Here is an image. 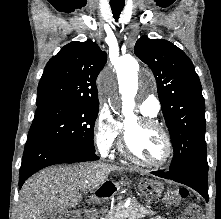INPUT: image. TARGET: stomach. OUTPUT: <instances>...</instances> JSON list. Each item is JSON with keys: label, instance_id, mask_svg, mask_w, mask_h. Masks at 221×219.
I'll list each match as a JSON object with an SVG mask.
<instances>
[{"label": "stomach", "instance_id": "obj_1", "mask_svg": "<svg viewBox=\"0 0 221 219\" xmlns=\"http://www.w3.org/2000/svg\"><path fill=\"white\" fill-rule=\"evenodd\" d=\"M139 189L146 199V204H163V200L170 195V190H164L161 178H146Z\"/></svg>", "mask_w": 221, "mask_h": 219}]
</instances>
